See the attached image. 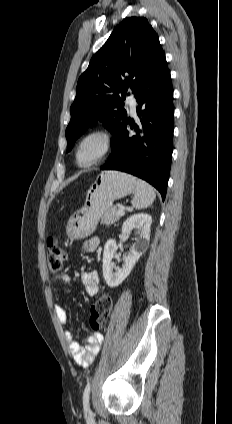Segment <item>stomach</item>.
Returning a JSON list of instances; mask_svg holds the SVG:
<instances>
[{"instance_id":"stomach-1","label":"stomach","mask_w":232,"mask_h":424,"mask_svg":"<svg viewBox=\"0 0 232 424\" xmlns=\"http://www.w3.org/2000/svg\"><path fill=\"white\" fill-rule=\"evenodd\" d=\"M135 178L118 171H104L88 190L81 215L72 219L67 226L70 240H78L92 234L103 213L113 206L115 200L133 193Z\"/></svg>"}]
</instances>
